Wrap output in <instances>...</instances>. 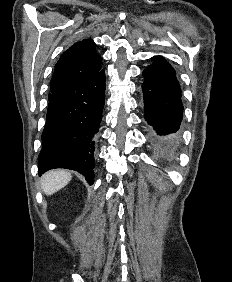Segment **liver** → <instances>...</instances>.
Returning a JSON list of instances; mask_svg holds the SVG:
<instances>
[{
    "label": "liver",
    "instance_id": "1",
    "mask_svg": "<svg viewBox=\"0 0 232 282\" xmlns=\"http://www.w3.org/2000/svg\"><path fill=\"white\" fill-rule=\"evenodd\" d=\"M71 178V174L65 170H51L42 177V191L46 195H52L65 187Z\"/></svg>",
    "mask_w": 232,
    "mask_h": 282
}]
</instances>
